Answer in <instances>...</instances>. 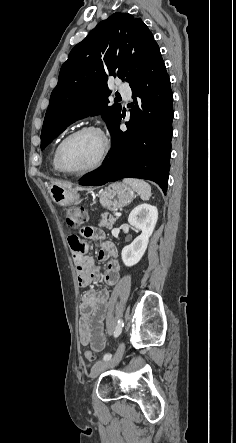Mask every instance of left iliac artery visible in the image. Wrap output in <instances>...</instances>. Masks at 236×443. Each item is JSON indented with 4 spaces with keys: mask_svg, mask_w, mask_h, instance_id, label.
<instances>
[{
    "mask_svg": "<svg viewBox=\"0 0 236 443\" xmlns=\"http://www.w3.org/2000/svg\"><path fill=\"white\" fill-rule=\"evenodd\" d=\"M123 327H124V322L122 319H120L118 321V324H117L116 329L114 331V337H118L120 335ZM111 357H112V354L107 353L103 356V360H109V359H111Z\"/></svg>",
    "mask_w": 236,
    "mask_h": 443,
    "instance_id": "obj_1",
    "label": "left iliac artery"
}]
</instances>
